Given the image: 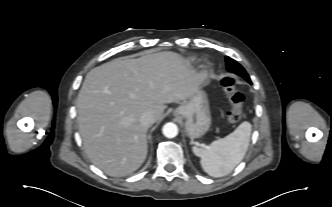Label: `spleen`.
<instances>
[{
	"label": "spleen",
	"mask_w": 332,
	"mask_h": 207,
	"mask_svg": "<svg viewBox=\"0 0 332 207\" xmlns=\"http://www.w3.org/2000/svg\"><path fill=\"white\" fill-rule=\"evenodd\" d=\"M251 130V124L245 121L228 136L213 141L205 148L195 144L192 149L194 154L200 157L203 170L212 177L229 174L245 156Z\"/></svg>",
	"instance_id": "obj_1"
}]
</instances>
